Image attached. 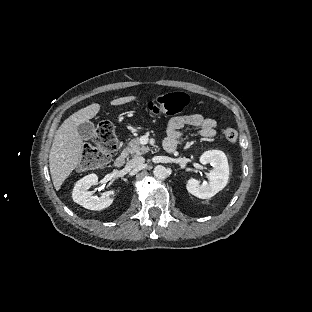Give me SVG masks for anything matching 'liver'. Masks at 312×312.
<instances>
[{"mask_svg": "<svg viewBox=\"0 0 312 312\" xmlns=\"http://www.w3.org/2000/svg\"><path fill=\"white\" fill-rule=\"evenodd\" d=\"M137 99L136 95L113 99L109 106H120ZM101 111L99 103H92L70 115L57 129L49 152V169L56 191L75 170L83 154L84 139L77 128L84 122L94 119Z\"/></svg>", "mask_w": 312, "mask_h": 312, "instance_id": "1", "label": "liver"}]
</instances>
